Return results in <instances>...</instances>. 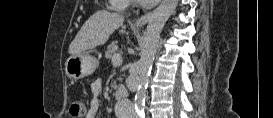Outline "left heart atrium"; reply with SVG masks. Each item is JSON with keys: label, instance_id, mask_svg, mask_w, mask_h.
Here are the masks:
<instances>
[{"label": "left heart atrium", "instance_id": "39dd6f15", "mask_svg": "<svg viewBox=\"0 0 273 118\" xmlns=\"http://www.w3.org/2000/svg\"><path fill=\"white\" fill-rule=\"evenodd\" d=\"M158 0H140L141 3H148V4H153L157 2Z\"/></svg>", "mask_w": 273, "mask_h": 118}]
</instances>
